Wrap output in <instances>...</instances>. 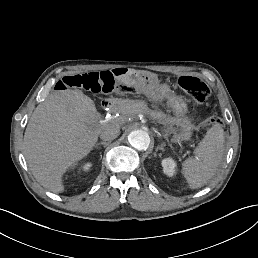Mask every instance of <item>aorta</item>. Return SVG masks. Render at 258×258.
I'll return each mask as SVG.
<instances>
[{
    "label": "aorta",
    "instance_id": "762f6f07",
    "mask_svg": "<svg viewBox=\"0 0 258 258\" xmlns=\"http://www.w3.org/2000/svg\"><path fill=\"white\" fill-rule=\"evenodd\" d=\"M128 141L137 150H146L150 144V136L143 129H135L128 135Z\"/></svg>",
    "mask_w": 258,
    "mask_h": 258
}]
</instances>
